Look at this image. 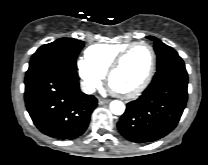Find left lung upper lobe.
<instances>
[{
    "instance_id": "left-lung-upper-lobe-1",
    "label": "left lung upper lobe",
    "mask_w": 208,
    "mask_h": 165,
    "mask_svg": "<svg viewBox=\"0 0 208 165\" xmlns=\"http://www.w3.org/2000/svg\"><path fill=\"white\" fill-rule=\"evenodd\" d=\"M147 38L154 41V49L158 58L157 69L166 65L167 63L171 61L181 59L178 53L173 48H171L170 46H167L166 44L161 42L159 39L153 36H148Z\"/></svg>"
}]
</instances>
